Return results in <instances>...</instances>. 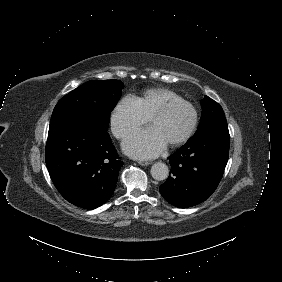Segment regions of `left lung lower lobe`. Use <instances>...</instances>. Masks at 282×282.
<instances>
[{"label":"left lung lower lobe","instance_id":"left-lung-lower-lobe-1","mask_svg":"<svg viewBox=\"0 0 282 282\" xmlns=\"http://www.w3.org/2000/svg\"><path fill=\"white\" fill-rule=\"evenodd\" d=\"M229 144L227 123L197 132L168 158L171 175L159 188L163 198L178 208H188L209 198L223 176Z\"/></svg>","mask_w":282,"mask_h":282}]
</instances>
